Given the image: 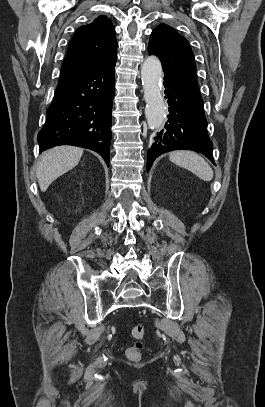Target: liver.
<instances>
[{
  "label": "liver",
  "instance_id": "liver-1",
  "mask_svg": "<svg viewBox=\"0 0 265 407\" xmlns=\"http://www.w3.org/2000/svg\"><path fill=\"white\" fill-rule=\"evenodd\" d=\"M83 149L74 146H58L42 156L36 171L42 192L58 177L73 169L80 161Z\"/></svg>",
  "mask_w": 265,
  "mask_h": 407
}]
</instances>
